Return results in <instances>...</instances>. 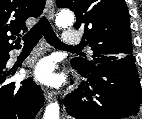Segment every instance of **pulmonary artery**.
<instances>
[{
  "label": "pulmonary artery",
  "instance_id": "pulmonary-artery-1",
  "mask_svg": "<svg viewBox=\"0 0 142 119\" xmlns=\"http://www.w3.org/2000/svg\"><path fill=\"white\" fill-rule=\"evenodd\" d=\"M81 42V34L77 30L64 31L62 43L65 45H77Z\"/></svg>",
  "mask_w": 142,
  "mask_h": 119
}]
</instances>
